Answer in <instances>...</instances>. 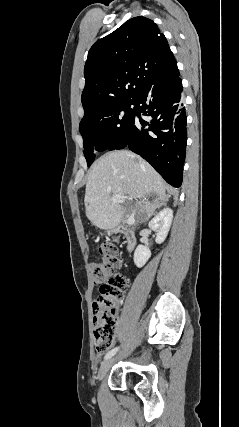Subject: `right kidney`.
Returning <instances> with one entry per match:
<instances>
[{
    "label": "right kidney",
    "instance_id": "ca27d5eb",
    "mask_svg": "<svg viewBox=\"0 0 239 427\" xmlns=\"http://www.w3.org/2000/svg\"><path fill=\"white\" fill-rule=\"evenodd\" d=\"M173 219V211L170 208L161 210L150 222L149 228L157 232L156 243L161 244L166 239ZM151 257L148 247L138 245L134 252V263L138 268L143 267Z\"/></svg>",
    "mask_w": 239,
    "mask_h": 427
}]
</instances>
